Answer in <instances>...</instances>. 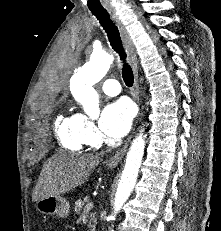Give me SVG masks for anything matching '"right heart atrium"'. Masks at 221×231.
Wrapping results in <instances>:
<instances>
[{
	"label": "right heart atrium",
	"mask_w": 221,
	"mask_h": 231,
	"mask_svg": "<svg viewBox=\"0 0 221 231\" xmlns=\"http://www.w3.org/2000/svg\"><path fill=\"white\" fill-rule=\"evenodd\" d=\"M82 124V135L87 144H93L98 139V132L91 120L86 116L79 114Z\"/></svg>",
	"instance_id": "d8ad5b80"
}]
</instances>
